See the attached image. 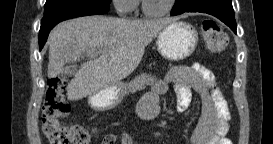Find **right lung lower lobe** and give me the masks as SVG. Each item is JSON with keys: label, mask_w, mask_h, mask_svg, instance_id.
<instances>
[{"label": "right lung lower lobe", "mask_w": 273, "mask_h": 144, "mask_svg": "<svg viewBox=\"0 0 273 144\" xmlns=\"http://www.w3.org/2000/svg\"><path fill=\"white\" fill-rule=\"evenodd\" d=\"M109 4L98 1H66L56 3L44 11L39 31V48H43L50 30L59 22L71 18L105 14Z\"/></svg>", "instance_id": "98d812e1"}]
</instances>
